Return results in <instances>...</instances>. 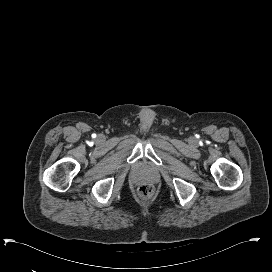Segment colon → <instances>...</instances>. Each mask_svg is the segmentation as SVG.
<instances>
[{
	"mask_svg": "<svg viewBox=\"0 0 272 272\" xmlns=\"http://www.w3.org/2000/svg\"><path fill=\"white\" fill-rule=\"evenodd\" d=\"M138 192L141 197H143L145 199H149L152 197L154 190L151 185L146 184V185L141 186L139 188Z\"/></svg>",
	"mask_w": 272,
	"mask_h": 272,
	"instance_id": "5ec220e1",
	"label": "colon"
}]
</instances>
